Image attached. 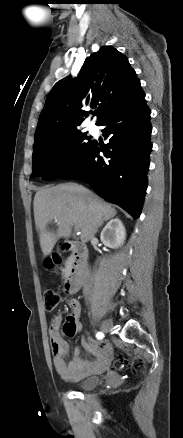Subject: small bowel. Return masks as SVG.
I'll return each instance as SVG.
<instances>
[{"instance_id":"small-bowel-1","label":"small bowel","mask_w":183,"mask_h":438,"mask_svg":"<svg viewBox=\"0 0 183 438\" xmlns=\"http://www.w3.org/2000/svg\"><path fill=\"white\" fill-rule=\"evenodd\" d=\"M81 312L80 303L73 300L70 303V314L67 317L66 323L75 325L76 332L81 331L82 324L79 320ZM62 323V315H55L50 324V338L53 354V366L58 375L66 381H79L87 376L100 374L106 370L107 362L110 357V348L108 344H99L96 341L82 337V347L91 355L96 357L95 362L89 361L81 355L78 348L75 349L73 358L70 362H66L65 358L69 351V345L60 334V326Z\"/></svg>"}]
</instances>
